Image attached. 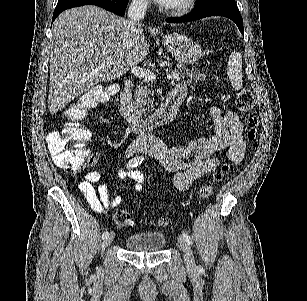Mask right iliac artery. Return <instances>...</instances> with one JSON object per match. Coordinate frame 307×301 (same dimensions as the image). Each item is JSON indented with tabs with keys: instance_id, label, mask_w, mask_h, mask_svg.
I'll return each instance as SVG.
<instances>
[{
	"instance_id": "right-iliac-artery-1",
	"label": "right iliac artery",
	"mask_w": 307,
	"mask_h": 301,
	"mask_svg": "<svg viewBox=\"0 0 307 301\" xmlns=\"http://www.w3.org/2000/svg\"><path fill=\"white\" fill-rule=\"evenodd\" d=\"M143 159H144L143 157H135L134 159L129 161V163L127 164V167L128 168L135 167L138 164H140L143 161ZM108 235H109V232L105 231L102 235V239H105Z\"/></svg>"
}]
</instances>
